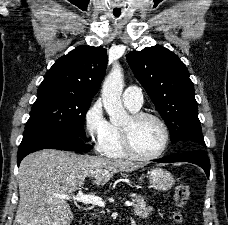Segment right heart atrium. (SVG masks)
Instances as JSON below:
<instances>
[{
  "mask_svg": "<svg viewBox=\"0 0 228 225\" xmlns=\"http://www.w3.org/2000/svg\"><path fill=\"white\" fill-rule=\"evenodd\" d=\"M83 124L87 136L96 149L109 137L111 122L107 119L101 100L93 102L83 114Z\"/></svg>",
  "mask_w": 228,
  "mask_h": 225,
  "instance_id": "obj_1",
  "label": "right heart atrium"
}]
</instances>
